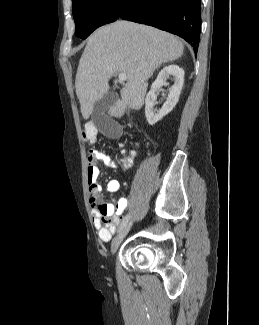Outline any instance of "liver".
<instances>
[{
    "instance_id": "obj_1",
    "label": "liver",
    "mask_w": 259,
    "mask_h": 325,
    "mask_svg": "<svg viewBox=\"0 0 259 325\" xmlns=\"http://www.w3.org/2000/svg\"><path fill=\"white\" fill-rule=\"evenodd\" d=\"M183 51L177 37L151 26L120 20L98 28L87 41L76 74L83 118L90 117L94 103L108 92V81L120 73L126 74L127 82L108 114L121 118L127 107L139 110L147 80L162 63L178 59Z\"/></svg>"
}]
</instances>
